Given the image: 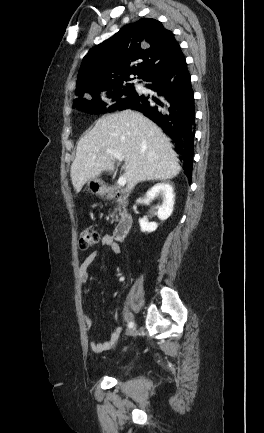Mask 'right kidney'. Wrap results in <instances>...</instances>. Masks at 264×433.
Masks as SVG:
<instances>
[{"label": "right kidney", "mask_w": 264, "mask_h": 433, "mask_svg": "<svg viewBox=\"0 0 264 433\" xmlns=\"http://www.w3.org/2000/svg\"><path fill=\"white\" fill-rule=\"evenodd\" d=\"M159 195L162 197L163 202L162 205L157 207V215L160 220L164 221L168 219L173 212L175 195L172 185L169 183H158L146 193V197L150 200H153ZM139 224L142 232H153L158 227L156 222H148L145 219H140Z\"/></svg>", "instance_id": "right-kidney-1"}]
</instances>
